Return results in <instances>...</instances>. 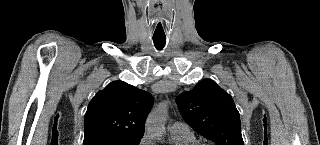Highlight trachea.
I'll list each match as a JSON object with an SVG mask.
<instances>
[{"instance_id":"1","label":"trachea","mask_w":320,"mask_h":145,"mask_svg":"<svg viewBox=\"0 0 320 145\" xmlns=\"http://www.w3.org/2000/svg\"><path fill=\"white\" fill-rule=\"evenodd\" d=\"M153 42L157 50H162L166 44L165 37H156L153 36Z\"/></svg>"}]
</instances>
